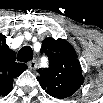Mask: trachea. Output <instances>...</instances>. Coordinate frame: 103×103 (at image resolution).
Segmentation results:
<instances>
[{
	"instance_id": "obj_1",
	"label": "trachea",
	"mask_w": 103,
	"mask_h": 103,
	"mask_svg": "<svg viewBox=\"0 0 103 103\" xmlns=\"http://www.w3.org/2000/svg\"><path fill=\"white\" fill-rule=\"evenodd\" d=\"M33 59V51L30 46H24L17 55L20 62H28Z\"/></svg>"
}]
</instances>
